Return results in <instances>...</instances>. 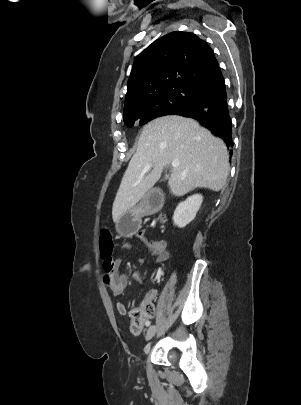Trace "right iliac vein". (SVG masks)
Returning <instances> with one entry per match:
<instances>
[{
	"label": "right iliac vein",
	"instance_id": "obj_1",
	"mask_svg": "<svg viewBox=\"0 0 301 405\" xmlns=\"http://www.w3.org/2000/svg\"><path fill=\"white\" fill-rule=\"evenodd\" d=\"M156 331H157V328L155 325L150 326L148 328L146 336H145L146 340L147 341L151 340L154 337V335L156 334Z\"/></svg>",
	"mask_w": 301,
	"mask_h": 405
}]
</instances>
